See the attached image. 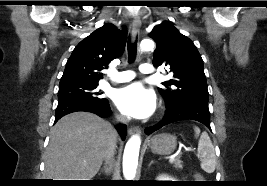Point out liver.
Listing matches in <instances>:
<instances>
[{
	"label": "liver",
	"mask_w": 267,
	"mask_h": 186,
	"mask_svg": "<svg viewBox=\"0 0 267 186\" xmlns=\"http://www.w3.org/2000/svg\"><path fill=\"white\" fill-rule=\"evenodd\" d=\"M113 131L110 123L92 113L64 116L51 130L44 176L53 180H91L102 165Z\"/></svg>",
	"instance_id": "6515ba94"
}]
</instances>
